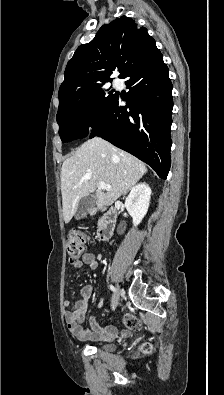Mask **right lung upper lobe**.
Returning <instances> with one entry per match:
<instances>
[{
  "mask_svg": "<svg viewBox=\"0 0 224 395\" xmlns=\"http://www.w3.org/2000/svg\"><path fill=\"white\" fill-rule=\"evenodd\" d=\"M156 47L147 29L121 16L103 25L94 39L75 51L59 89V105L67 98L104 83L118 69L121 78L131 65Z\"/></svg>",
  "mask_w": 224,
  "mask_h": 395,
  "instance_id": "1",
  "label": "right lung upper lobe"
}]
</instances>
